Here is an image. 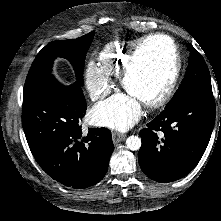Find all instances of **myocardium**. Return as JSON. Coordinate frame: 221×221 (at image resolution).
Returning <instances> with one entry per match:
<instances>
[{"label":"myocardium","mask_w":221,"mask_h":221,"mask_svg":"<svg viewBox=\"0 0 221 221\" xmlns=\"http://www.w3.org/2000/svg\"><path fill=\"white\" fill-rule=\"evenodd\" d=\"M155 38H163L169 42L171 46V51H172L173 63L169 72L168 80L163 85L162 89L156 90L154 92L153 97L150 100L142 102V105L149 109H155V108L162 106L169 99V97L171 96L175 88L178 76L181 71V56H180L178 46L175 40L170 35L165 34V33H155V34H150V35L142 37L133 47L129 55L128 61L126 65L124 66V68L122 69L121 74L119 75V81H120L121 87L124 91L127 92L128 91V87H127L128 77L137 63V60H138V57L140 55L142 48L149 41Z\"/></svg>","instance_id":"f54148a6"}]
</instances>
